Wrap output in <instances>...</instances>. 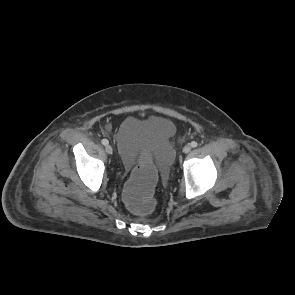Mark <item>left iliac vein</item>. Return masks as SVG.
Here are the masks:
<instances>
[{"label": "left iliac vein", "mask_w": 295, "mask_h": 295, "mask_svg": "<svg viewBox=\"0 0 295 295\" xmlns=\"http://www.w3.org/2000/svg\"><path fill=\"white\" fill-rule=\"evenodd\" d=\"M190 150H191L190 145H185V146L183 147V152H184V153H189Z\"/></svg>", "instance_id": "1"}]
</instances>
